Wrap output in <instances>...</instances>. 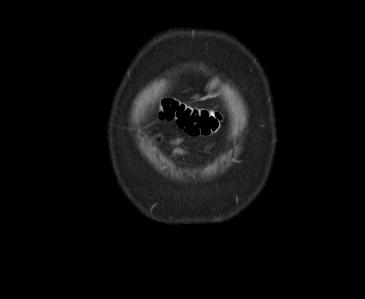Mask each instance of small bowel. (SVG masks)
Wrapping results in <instances>:
<instances>
[{
	"mask_svg": "<svg viewBox=\"0 0 365 299\" xmlns=\"http://www.w3.org/2000/svg\"><path fill=\"white\" fill-rule=\"evenodd\" d=\"M182 142H183V138H176V139L172 140V144H174L176 146L181 144ZM185 153H186V151L182 148L176 147L174 149V154L175 155H183Z\"/></svg>",
	"mask_w": 365,
	"mask_h": 299,
	"instance_id": "small-bowel-1",
	"label": "small bowel"
}]
</instances>
